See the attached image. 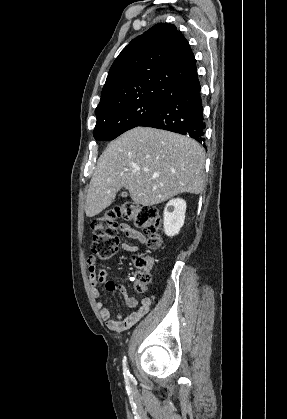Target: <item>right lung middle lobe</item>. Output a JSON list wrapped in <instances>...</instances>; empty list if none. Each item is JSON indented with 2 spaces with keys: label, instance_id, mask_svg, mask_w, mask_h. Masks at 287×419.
Instances as JSON below:
<instances>
[{
  "label": "right lung middle lobe",
  "instance_id": "1",
  "mask_svg": "<svg viewBox=\"0 0 287 419\" xmlns=\"http://www.w3.org/2000/svg\"><path fill=\"white\" fill-rule=\"evenodd\" d=\"M164 103L157 100L134 101L96 114L94 138L100 141L113 140L127 130L139 126L158 111Z\"/></svg>",
  "mask_w": 287,
  "mask_h": 419
}]
</instances>
